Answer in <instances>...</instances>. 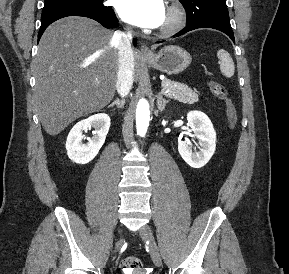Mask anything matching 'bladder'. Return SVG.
Segmentation results:
<instances>
[{
  "label": "bladder",
  "mask_w": 289,
  "mask_h": 274,
  "mask_svg": "<svg viewBox=\"0 0 289 274\" xmlns=\"http://www.w3.org/2000/svg\"><path fill=\"white\" fill-rule=\"evenodd\" d=\"M126 274H141V273H138L137 271H134V272H131V273H126Z\"/></svg>",
  "instance_id": "obj_1"
}]
</instances>
